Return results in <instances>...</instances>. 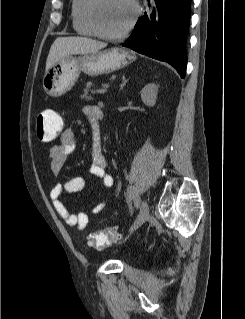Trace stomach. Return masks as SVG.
Here are the masks:
<instances>
[{"instance_id":"0dacf381","label":"stomach","mask_w":245,"mask_h":319,"mask_svg":"<svg viewBox=\"0 0 245 319\" xmlns=\"http://www.w3.org/2000/svg\"><path fill=\"white\" fill-rule=\"evenodd\" d=\"M135 57L121 48H112L97 53L60 59L47 70L43 88L52 97H60L71 90L81 71L89 75L110 73L126 66Z\"/></svg>"}]
</instances>
